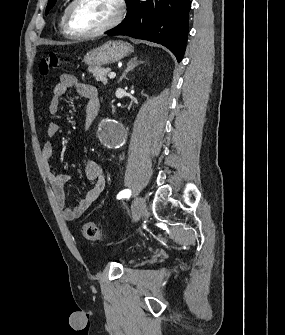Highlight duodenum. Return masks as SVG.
I'll return each mask as SVG.
<instances>
[{"mask_svg": "<svg viewBox=\"0 0 285 335\" xmlns=\"http://www.w3.org/2000/svg\"><path fill=\"white\" fill-rule=\"evenodd\" d=\"M99 109H100V104L99 103H97V104H95L91 107V109L89 110L90 119H94L97 116V114L99 112Z\"/></svg>", "mask_w": 285, "mask_h": 335, "instance_id": "410a0bca", "label": "duodenum"}]
</instances>
